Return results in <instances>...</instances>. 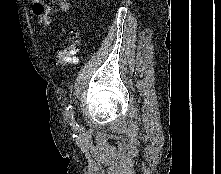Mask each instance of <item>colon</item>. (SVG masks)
<instances>
[{"label":"colon","instance_id":"obj_1","mask_svg":"<svg viewBox=\"0 0 221 174\" xmlns=\"http://www.w3.org/2000/svg\"><path fill=\"white\" fill-rule=\"evenodd\" d=\"M69 35L71 38H74L76 35V31L74 29H70ZM78 45L75 42H69L62 48H59L55 51L54 56L52 58V62L61 66H69L74 65L78 62Z\"/></svg>","mask_w":221,"mask_h":174}]
</instances>
